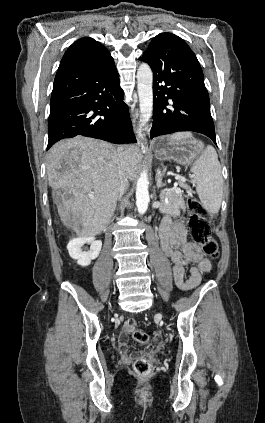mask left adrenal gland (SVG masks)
I'll use <instances>...</instances> for the list:
<instances>
[{"instance_id": "1", "label": "left adrenal gland", "mask_w": 265, "mask_h": 423, "mask_svg": "<svg viewBox=\"0 0 265 423\" xmlns=\"http://www.w3.org/2000/svg\"><path fill=\"white\" fill-rule=\"evenodd\" d=\"M161 178H162L161 172L160 170H158V179L161 180Z\"/></svg>"}]
</instances>
